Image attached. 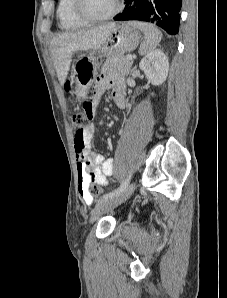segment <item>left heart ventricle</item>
<instances>
[{
    "label": "left heart ventricle",
    "mask_w": 227,
    "mask_h": 298,
    "mask_svg": "<svg viewBox=\"0 0 227 298\" xmlns=\"http://www.w3.org/2000/svg\"><path fill=\"white\" fill-rule=\"evenodd\" d=\"M87 11L96 17L105 16L116 6L117 0H85Z\"/></svg>",
    "instance_id": "b2bd125f"
}]
</instances>
